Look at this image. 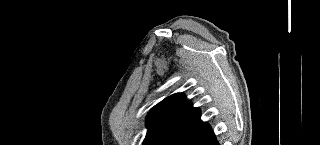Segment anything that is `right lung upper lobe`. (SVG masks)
I'll return each mask as SVG.
<instances>
[{
	"label": "right lung upper lobe",
	"instance_id": "right-lung-upper-lobe-1",
	"mask_svg": "<svg viewBox=\"0 0 320 145\" xmlns=\"http://www.w3.org/2000/svg\"><path fill=\"white\" fill-rule=\"evenodd\" d=\"M200 110L192 106L182 93L173 94L158 103L147 116L145 140L160 135L175 136L204 124ZM144 140V141H145Z\"/></svg>",
	"mask_w": 320,
	"mask_h": 145
}]
</instances>
